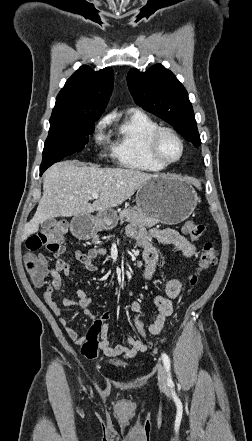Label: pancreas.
I'll return each mask as SVG.
<instances>
[{"label": "pancreas", "mask_w": 252, "mask_h": 441, "mask_svg": "<svg viewBox=\"0 0 252 441\" xmlns=\"http://www.w3.org/2000/svg\"><path fill=\"white\" fill-rule=\"evenodd\" d=\"M118 220L121 223L124 221L138 223L148 228L157 225L159 222L154 218L146 216L141 210L133 207L120 211ZM95 240H98V236H95Z\"/></svg>", "instance_id": "pancreas-1"}]
</instances>
